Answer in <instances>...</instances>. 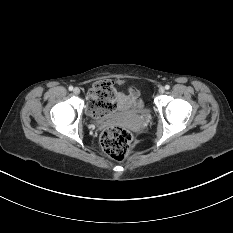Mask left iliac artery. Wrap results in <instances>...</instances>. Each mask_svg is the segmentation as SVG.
Listing matches in <instances>:
<instances>
[{
    "label": "left iliac artery",
    "instance_id": "44dca946",
    "mask_svg": "<svg viewBox=\"0 0 233 233\" xmlns=\"http://www.w3.org/2000/svg\"><path fill=\"white\" fill-rule=\"evenodd\" d=\"M165 89H166V90H169V89H170V86H169V85H165Z\"/></svg>",
    "mask_w": 233,
    "mask_h": 233
}]
</instances>
